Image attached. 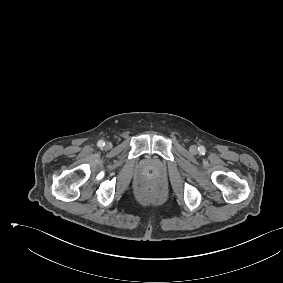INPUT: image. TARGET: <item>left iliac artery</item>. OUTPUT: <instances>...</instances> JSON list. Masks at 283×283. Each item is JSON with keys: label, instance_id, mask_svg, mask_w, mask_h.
<instances>
[{"label": "left iliac artery", "instance_id": "1", "mask_svg": "<svg viewBox=\"0 0 283 283\" xmlns=\"http://www.w3.org/2000/svg\"><path fill=\"white\" fill-rule=\"evenodd\" d=\"M198 150L200 153L204 154L205 153V147L204 146H199Z\"/></svg>", "mask_w": 283, "mask_h": 283}]
</instances>
